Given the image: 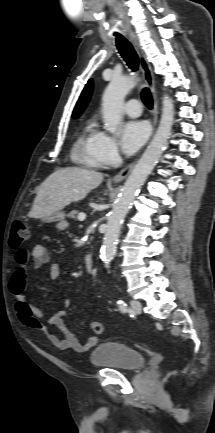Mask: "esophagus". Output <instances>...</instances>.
I'll return each instance as SVG.
<instances>
[{
    "instance_id": "esophagus-1",
    "label": "esophagus",
    "mask_w": 215,
    "mask_h": 433,
    "mask_svg": "<svg viewBox=\"0 0 215 433\" xmlns=\"http://www.w3.org/2000/svg\"><path fill=\"white\" fill-rule=\"evenodd\" d=\"M129 40L132 43L135 51L138 54L140 67H141V70L143 72L144 79H145V81H146V83L150 89V92H151V95L153 98V106H154L153 107V131H154L157 120H158V105H159L158 97H157V93H156V89H155L154 75H153V72L151 69V65L147 60L146 54L140 46V42H139L137 35L133 32L129 33ZM134 165H135V162H132L129 165H127L124 169H122L113 178V181L115 183L123 181L129 175V173L132 171Z\"/></svg>"
}]
</instances>
